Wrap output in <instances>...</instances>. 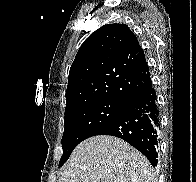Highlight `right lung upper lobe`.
I'll return each instance as SVG.
<instances>
[{"label": "right lung upper lobe", "mask_w": 196, "mask_h": 182, "mask_svg": "<svg viewBox=\"0 0 196 182\" xmlns=\"http://www.w3.org/2000/svg\"><path fill=\"white\" fill-rule=\"evenodd\" d=\"M151 82L143 49L125 24H107L81 45L69 72L66 108L110 98L130 103Z\"/></svg>", "instance_id": "obj_1"}]
</instances>
